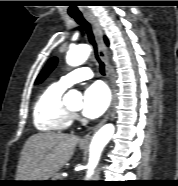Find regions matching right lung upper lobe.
Wrapping results in <instances>:
<instances>
[{
  "instance_id": "obj_1",
  "label": "right lung upper lobe",
  "mask_w": 178,
  "mask_h": 186,
  "mask_svg": "<svg viewBox=\"0 0 178 186\" xmlns=\"http://www.w3.org/2000/svg\"><path fill=\"white\" fill-rule=\"evenodd\" d=\"M105 42L108 44V41H107V39L105 38Z\"/></svg>"
}]
</instances>
